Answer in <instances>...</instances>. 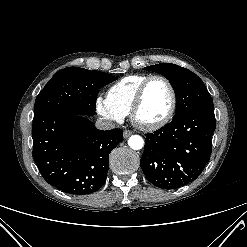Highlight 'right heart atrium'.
Returning <instances> with one entry per match:
<instances>
[{
	"label": "right heart atrium",
	"mask_w": 247,
	"mask_h": 247,
	"mask_svg": "<svg viewBox=\"0 0 247 247\" xmlns=\"http://www.w3.org/2000/svg\"><path fill=\"white\" fill-rule=\"evenodd\" d=\"M95 106L98 114L109 121L122 122L125 118L124 114L115 108L107 97L98 96Z\"/></svg>",
	"instance_id": "obj_1"
}]
</instances>
